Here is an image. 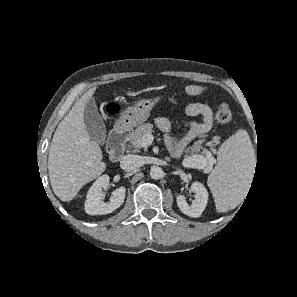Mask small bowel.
Returning a JSON list of instances; mask_svg holds the SVG:
<instances>
[{
    "label": "small bowel",
    "instance_id": "obj_1",
    "mask_svg": "<svg viewBox=\"0 0 297 297\" xmlns=\"http://www.w3.org/2000/svg\"><path fill=\"white\" fill-rule=\"evenodd\" d=\"M184 111L188 116H199L200 120L188 121L186 123V133L179 138H176L171 134L173 124L169 119L165 117H157L155 119L157 127L167 133L165 144L170 155L174 158L180 157L190 143L199 136L207 133L213 125L212 109L206 102L187 103L184 107Z\"/></svg>",
    "mask_w": 297,
    "mask_h": 297
}]
</instances>
